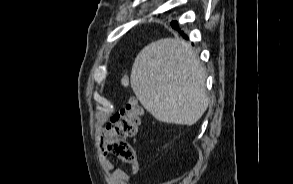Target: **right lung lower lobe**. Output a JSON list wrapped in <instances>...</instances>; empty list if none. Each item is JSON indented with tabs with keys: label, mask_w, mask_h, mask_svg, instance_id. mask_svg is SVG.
Segmentation results:
<instances>
[{
	"label": "right lung lower lobe",
	"mask_w": 293,
	"mask_h": 184,
	"mask_svg": "<svg viewBox=\"0 0 293 184\" xmlns=\"http://www.w3.org/2000/svg\"><path fill=\"white\" fill-rule=\"evenodd\" d=\"M171 25H172V27H174V28L177 29V22H176V21H172V22H171ZM181 34L183 35L184 38L187 39V36H186L185 34H183V33H181Z\"/></svg>",
	"instance_id": "98d812e1"
}]
</instances>
